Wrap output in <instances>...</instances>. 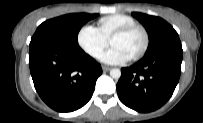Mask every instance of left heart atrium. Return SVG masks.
Here are the masks:
<instances>
[{
    "mask_svg": "<svg viewBox=\"0 0 203 123\" xmlns=\"http://www.w3.org/2000/svg\"><path fill=\"white\" fill-rule=\"evenodd\" d=\"M129 59L130 57L125 52L115 46H112L102 56V61L108 64H122Z\"/></svg>",
    "mask_w": 203,
    "mask_h": 123,
    "instance_id": "39dd6f15",
    "label": "left heart atrium"
}]
</instances>
